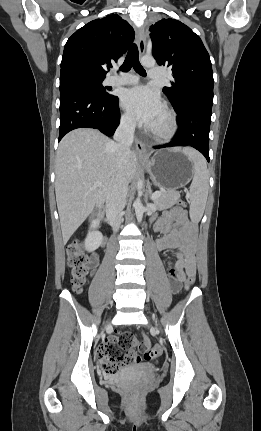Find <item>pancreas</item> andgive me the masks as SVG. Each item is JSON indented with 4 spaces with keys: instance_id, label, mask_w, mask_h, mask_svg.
Returning <instances> with one entry per match:
<instances>
[{
    "instance_id": "pancreas-1",
    "label": "pancreas",
    "mask_w": 261,
    "mask_h": 431,
    "mask_svg": "<svg viewBox=\"0 0 261 431\" xmlns=\"http://www.w3.org/2000/svg\"><path fill=\"white\" fill-rule=\"evenodd\" d=\"M180 199V193L175 190H166L161 192V195L154 200V205L159 210L171 208Z\"/></svg>"
}]
</instances>
